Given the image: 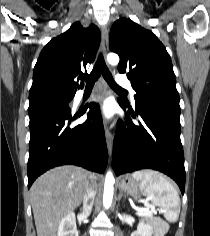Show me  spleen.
Returning <instances> with one entry per match:
<instances>
[{
	"mask_svg": "<svg viewBox=\"0 0 210 236\" xmlns=\"http://www.w3.org/2000/svg\"><path fill=\"white\" fill-rule=\"evenodd\" d=\"M132 177L140 182L141 190L152 204L163 209L167 221L174 223L178 220L180 197L170 181L153 170L136 171Z\"/></svg>",
	"mask_w": 210,
	"mask_h": 236,
	"instance_id": "1",
	"label": "spleen"
}]
</instances>
